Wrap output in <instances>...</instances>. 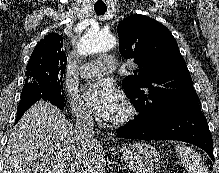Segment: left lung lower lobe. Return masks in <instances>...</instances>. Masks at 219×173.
I'll use <instances>...</instances> for the list:
<instances>
[{"instance_id":"1","label":"left lung lower lobe","mask_w":219,"mask_h":173,"mask_svg":"<svg viewBox=\"0 0 219 173\" xmlns=\"http://www.w3.org/2000/svg\"><path fill=\"white\" fill-rule=\"evenodd\" d=\"M116 132L127 139L188 142L205 150L214 161L212 136L199 103L179 106L150 122L130 120Z\"/></svg>"}]
</instances>
